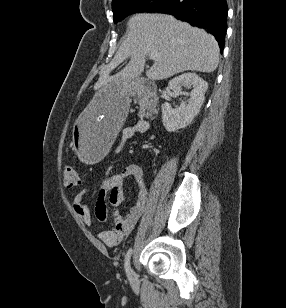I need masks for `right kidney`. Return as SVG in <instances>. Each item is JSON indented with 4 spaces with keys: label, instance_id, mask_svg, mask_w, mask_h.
<instances>
[{
    "label": "right kidney",
    "instance_id": "ca27d5eb",
    "mask_svg": "<svg viewBox=\"0 0 286 308\" xmlns=\"http://www.w3.org/2000/svg\"><path fill=\"white\" fill-rule=\"evenodd\" d=\"M182 86L192 88V91L189 94L184 93L181 90ZM168 88L177 94L190 96L187 101H182L176 109H172L167 102L161 106L163 125L168 132H174L189 126L197 116L205 100L204 95L208 84L195 73H184L170 80Z\"/></svg>",
    "mask_w": 286,
    "mask_h": 308
}]
</instances>
